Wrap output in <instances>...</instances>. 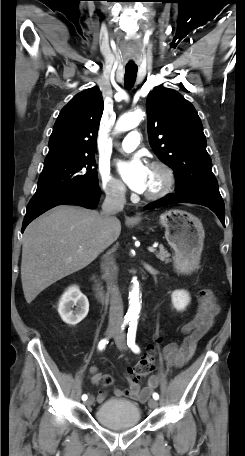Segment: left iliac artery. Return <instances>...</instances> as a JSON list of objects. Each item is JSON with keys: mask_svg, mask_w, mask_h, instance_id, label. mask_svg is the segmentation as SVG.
Masks as SVG:
<instances>
[{"mask_svg": "<svg viewBox=\"0 0 245 456\" xmlns=\"http://www.w3.org/2000/svg\"><path fill=\"white\" fill-rule=\"evenodd\" d=\"M136 329H137V322L132 320L130 322V326L128 328V333H127V344L129 348L134 352V353H139L140 349L135 343V338H136ZM153 398L155 400L159 399L158 393H153Z\"/></svg>", "mask_w": 245, "mask_h": 456, "instance_id": "left-iliac-artery-1", "label": "left iliac artery"}]
</instances>
